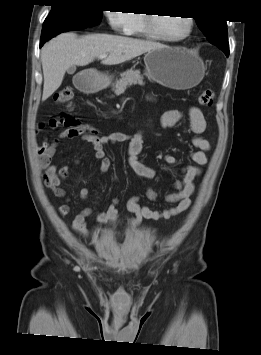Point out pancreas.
Returning <instances> with one entry per match:
<instances>
[{
  "instance_id": "1",
  "label": "pancreas",
  "mask_w": 261,
  "mask_h": 355,
  "mask_svg": "<svg viewBox=\"0 0 261 355\" xmlns=\"http://www.w3.org/2000/svg\"><path fill=\"white\" fill-rule=\"evenodd\" d=\"M135 84L144 85L143 76L139 70L130 69L121 74V78L113 84L112 90L116 95H120L124 93L127 87Z\"/></svg>"
}]
</instances>
